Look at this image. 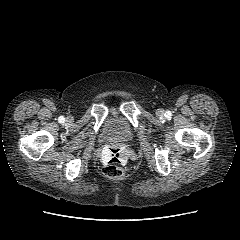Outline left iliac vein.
Instances as JSON below:
<instances>
[{"label":"left iliac vein","instance_id":"4c4485c4","mask_svg":"<svg viewBox=\"0 0 240 240\" xmlns=\"http://www.w3.org/2000/svg\"><path fill=\"white\" fill-rule=\"evenodd\" d=\"M156 115H157L158 117H163V116H164V110L158 109V110L156 111Z\"/></svg>","mask_w":240,"mask_h":240}]
</instances>
